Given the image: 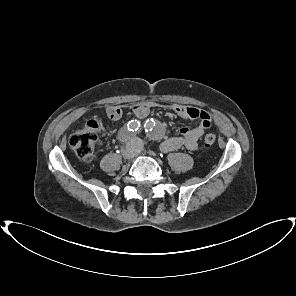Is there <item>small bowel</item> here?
Masks as SVG:
<instances>
[{"mask_svg":"<svg viewBox=\"0 0 296 296\" xmlns=\"http://www.w3.org/2000/svg\"><path fill=\"white\" fill-rule=\"evenodd\" d=\"M153 107H155V104L152 102H138L133 105V112L137 118L143 119L148 116ZM170 108L179 117L199 119L200 123L194 128L182 127L179 130V136L170 137L163 141L161 150L163 152L175 151L181 148L191 151L196 150L199 139L212 125L211 115L207 111L179 104H173ZM106 115L111 122H117L122 117V110L118 106H109L106 109Z\"/></svg>","mask_w":296,"mask_h":296,"instance_id":"obj_1","label":"small bowel"}]
</instances>
